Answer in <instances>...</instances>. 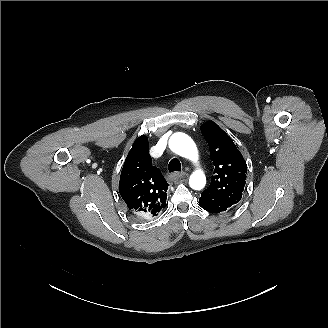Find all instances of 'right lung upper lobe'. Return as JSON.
Returning <instances> with one entry per match:
<instances>
[{
	"instance_id": "1",
	"label": "right lung upper lobe",
	"mask_w": 328,
	"mask_h": 328,
	"mask_svg": "<svg viewBox=\"0 0 328 328\" xmlns=\"http://www.w3.org/2000/svg\"><path fill=\"white\" fill-rule=\"evenodd\" d=\"M168 186L152 165L148 138L138 137L126 157L119 182L120 195L130 213L143 219L157 216L166 205Z\"/></svg>"
}]
</instances>
